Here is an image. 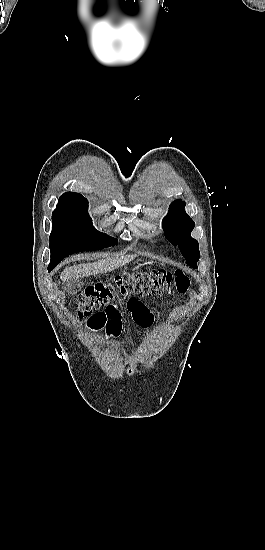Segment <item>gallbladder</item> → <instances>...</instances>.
<instances>
[{
    "instance_id": "bac80fb5",
    "label": "gallbladder",
    "mask_w": 265,
    "mask_h": 550,
    "mask_svg": "<svg viewBox=\"0 0 265 550\" xmlns=\"http://www.w3.org/2000/svg\"><path fill=\"white\" fill-rule=\"evenodd\" d=\"M83 287L81 279H71L65 282V290L69 294H76Z\"/></svg>"
}]
</instances>
